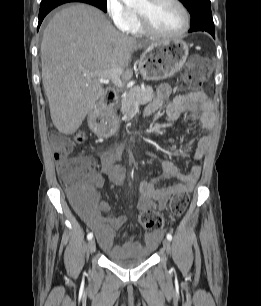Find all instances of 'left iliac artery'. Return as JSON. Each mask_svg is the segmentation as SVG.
Here are the masks:
<instances>
[{"instance_id": "44dca946", "label": "left iliac artery", "mask_w": 261, "mask_h": 306, "mask_svg": "<svg viewBox=\"0 0 261 306\" xmlns=\"http://www.w3.org/2000/svg\"><path fill=\"white\" fill-rule=\"evenodd\" d=\"M166 237H167V239H168L169 241L172 240V235H171L170 233H168V234L166 235Z\"/></svg>"}]
</instances>
